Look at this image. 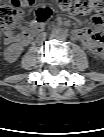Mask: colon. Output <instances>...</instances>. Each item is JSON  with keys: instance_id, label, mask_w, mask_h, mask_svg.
I'll list each match as a JSON object with an SVG mask.
<instances>
[{"instance_id": "1", "label": "colon", "mask_w": 104, "mask_h": 137, "mask_svg": "<svg viewBox=\"0 0 104 137\" xmlns=\"http://www.w3.org/2000/svg\"><path fill=\"white\" fill-rule=\"evenodd\" d=\"M36 0H11L10 3L2 5L0 9V23L5 33L22 27L25 10L31 7ZM48 5L40 7L36 12V19L39 23L47 22L54 9L66 14H79L87 12L101 13L104 10V0H44ZM92 37L101 44L103 39L102 19L95 16L92 20ZM94 51L102 52V46L95 44Z\"/></svg>"}]
</instances>
